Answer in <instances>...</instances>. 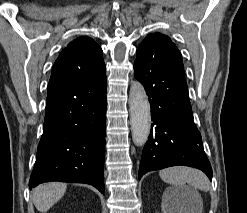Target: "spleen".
<instances>
[{"mask_svg": "<svg viewBox=\"0 0 247 213\" xmlns=\"http://www.w3.org/2000/svg\"><path fill=\"white\" fill-rule=\"evenodd\" d=\"M161 179L164 182L172 184L175 187H182L186 183L192 186L193 188L199 189L201 191L207 192L210 189V182L207 176L200 170L188 168L184 166H175L163 169L159 172ZM168 190L167 192H170ZM179 213L184 212L179 209L180 204H178Z\"/></svg>", "mask_w": 247, "mask_h": 213, "instance_id": "1", "label": "spleen"}]
</instances>
